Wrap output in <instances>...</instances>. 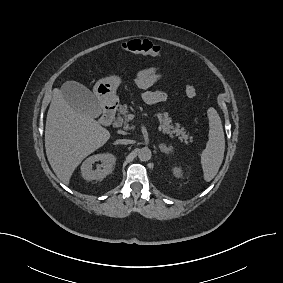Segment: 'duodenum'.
Segmentation results:
<instances>
[{
    "mask_svg": "<svg viewBox=\"0 0 283 283\" xmlns=\"http://www.w3.org/2000/svg\"><path fill=\"white\" fill-rule=\"evenodd\" d=\"M115 117V107L114 106H106L103 109L101 121L104 125L109 126L113 122Z\"/></svg>",
    "mask_w": 283,
    "mask_h": 283,
    "instance_id": "obj_1",
    "label": "duodenum"
}]
</instances>
